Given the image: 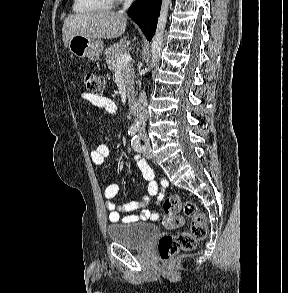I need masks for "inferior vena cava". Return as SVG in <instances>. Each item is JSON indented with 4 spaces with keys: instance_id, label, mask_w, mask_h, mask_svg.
Instances as JSON below:
<instances>
[{
    "instance_id": "obj_1",
    "label": "inferior vena cava",
    "mask_w": 288,
    "mask_h": 293,
    "mask_svg": "<svg viewBox=\"0 0 288 293\" xmlns=\"http://www.w3.org/2000/svg\"><path fill=\"white\" fill-rule=\"evenodd\" d=\"M132 3H133V0H124L123 9L120 12L123 13L125 10H127L130 7ZM147 105L148 103H147L146 93L145 91H142L139 95L136 121L139 127V132L143 134L144 138H146L145 127H146V121L148 118Z\"/></svg>"
}]
</instances>
